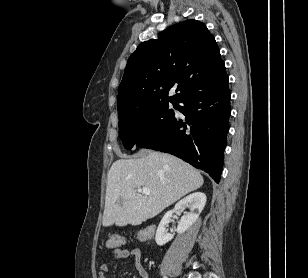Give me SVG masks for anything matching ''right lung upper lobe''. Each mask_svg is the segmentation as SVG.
<instances>
[{"label":"right lung upper lobe","instance_id":"right-lung-upper-lobe-1","mask_svg":"<svg viewBox=\"0 0 308 278\" xmlns=\"http://www.w3.org/2000/svg\"><path fill=\"white\" fill-rule=\"evenodd\" d=\"M226 77L219 48L203 23L190 19L171 26L129 57L118 90L119 121L143 107L177 104ZM174 84L181 92L169 97Z\"/></svg>","mask_w":308,"mask_h":278}]
</instances>
